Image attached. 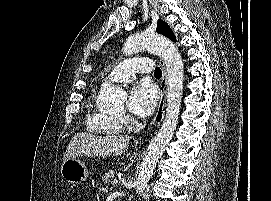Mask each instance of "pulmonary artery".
<instances>
[{
    "instance_id": "pulmonary-artery-1",
    "label": "pulmonary artery",
    "mask_w": 271,
    "mask_h": 201,
    "mask_svg": "<svg viewBox=\"0 0 271 201\" xmlns=\"http://www.w3.org/2000/svg\"><path fill=\"white\" fill-rule=\"evenodd\" d=\"M152 67L151 61L145 57L126 59L112 69L109 79L113 82H129L134 80L138 73L151 72Z\"/></svg>"
}]
</instances>
